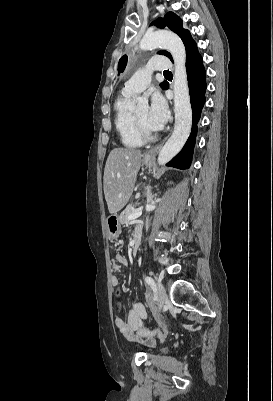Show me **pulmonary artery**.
Listing matches in <instances>:
<instances>
[{"label":"pulmonary artery","mask_w":273,"mask_h":401,"mask_svg":"<svg viewBox=\"0 0 273 401\" xmlns=\"http://www.w3.org/2000/svg\"><path fill=\"white\" fill-rule=\"evenodd\" d=\"M171 63L172 60L168 57H152L150 63H148L145 68H139L137 74L134 75L133 80L127 82L125 92L127 94H135L143 89H147L152 80L150 75L151 72H166L170 69V66L168 65ZM136 83L138 87H136Z\"/></svg>","instance_id":"e3ab8cb5"}]
</instances>
